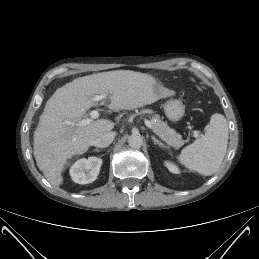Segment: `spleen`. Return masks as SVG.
Returning a JSON list of instances; mask_svg holds the SVG:
<instances>
[{
    "label": "spleen",
    "instance_id": "spleen-1",
    "mask_svg": "<svg viewBox=\"0 0 259 259\" xmlns=\"http://www.w3.org/2000/svg\"><path fill=\"white\" fill-rule=\"evenodd\" d=\"M228 124L224 115L215 113L205 135L182 149L178 161L190 171L210 176L220 167L228 145Z\"/></svg>",
    "mask_w": 259,
    "mask_h": 259
}]
</instances>
